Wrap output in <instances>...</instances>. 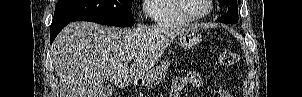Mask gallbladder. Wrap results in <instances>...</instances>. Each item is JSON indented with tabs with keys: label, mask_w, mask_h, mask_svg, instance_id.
Here are the masks:
<instances>
[{
	"label": "gallbladder",
	"mask_w": 302,
	"mask_h": 97,
	"mask_svg": "<svg viewBox=\"0 0 302 97\" xmlns=\"http://www.w3.org/2000/svg\"><path fill=\"white\" fill-rule=\"evenodd\" d=\"M113 93V87L111 85H106L101 91V97H110Z\"/></svg>",
	"instance_id": "gallbladder-1"
}]
</instances>
